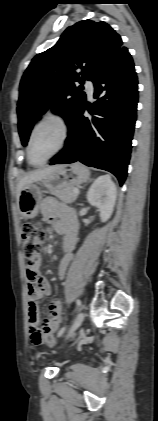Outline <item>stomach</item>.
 <instances>
[{"label": "stomach", "mask_w": 158, "mask_h": 421, "mask_svg": "<svg viewBox=\"0 0 158 421\" xmlns=\"http://www.w3.org/2000/svg\"><path fill=\"white\" fill-rule=\"evenodd\" d=\"M90 172L83 164L76 162L61 165L49 175L39 180L38 183L25 185L19 195L18 206L20 214L24 218H34L38 214L41 202L39 185L50 191H56L68 187L78 186L89 179Z\"/></svg>", "instance_id": "1"}]
</instances>
